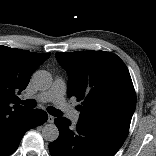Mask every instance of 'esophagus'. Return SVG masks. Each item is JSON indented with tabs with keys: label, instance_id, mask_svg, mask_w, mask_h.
Returning a JSON list of instances; mask_svg holds the SVG:
<instances>
[{
	"label": "esophagus",
	"instance_id": "esophagus-1",
	"mask_svg": "<svg viewBox=\"0 0 156 156\" xmlns=\"http://www.w3.org/2000/svg\"><path fill=\"white\" fill-rule=\"evenodd\" d=\"M54 119H55L54 116L48 115L47 122H48V123H53V122H54Z\"/></svg>",
	"mask_w": 156,
	"mask_h": 156
}]
</instances>
